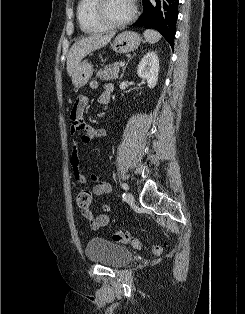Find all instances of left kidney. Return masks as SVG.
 I'll use <instances>...</instances> for the list:
<instances>
[{
  "mask_svg": "<svg viewBox=\"0 0 245 314\" xmlns=\"http://www.w3.org/2000/svg\"><path fill=\"white\" fill-rule=\"evenodd\" d=\"M137 74L147 81L150 89L156 86L159 74V59L155 51H149L143 56L137 67Z\"/></svg>",
  "mask_w": 245,
  "mask_h": 314,
  "instance_id": "left-kidney-1",
  "label": "left kidney"
}]
</instances>
